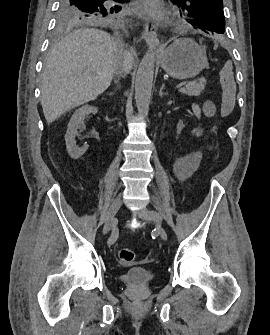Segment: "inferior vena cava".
I'll return each mask as SVG.
<instances>
[{
    "instance_id": "obj_1",
    "label": "inferior vena cava",
    "mask_w": 270,
    "mask_h": 335,
    "mask_svg": "<svg viewBox=\"0 0 270 335\" xmlns=\"http://www.w3.org/2000/svg\"><path fill=\"white\" fill-rule=\"evenodd\" d=\"M119 42H120V40H119ZM121 44H122V42H121ZM116 74H117V76H122V74H124V76H125V74H128L126 64H123L122 68H117Z\"/></svg>"
}]
</instances>
